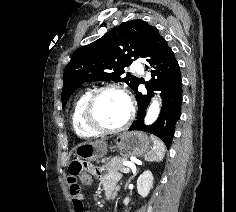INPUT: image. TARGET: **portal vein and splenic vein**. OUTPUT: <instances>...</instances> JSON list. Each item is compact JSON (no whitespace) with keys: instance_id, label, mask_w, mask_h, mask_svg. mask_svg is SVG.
Here are the masks:
<instances>
[{"instance_id":"1","label":"portal vein and splenic vein","mask_w":236,"mask_h":212,"mask_svg":"<svg viewBox=\"0 0 236 212\" xmlns=\"http://www.w3.org/2000/svg\"><path fill=\"white\" fill-rule=\"evenodd\" d=\"M124 168L121 170V172L123 173H128L130 171V168H132V164L131 163H124Z\"/></svg>"}]
</instances>
